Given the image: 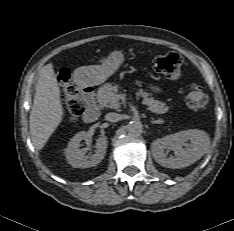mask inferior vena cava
<instances>
[{
    "mask_svg": "<svg viewBox=\"0 0 234 231\" xmlns=\"http://www.w3.org/2000/svg\"><path fill=\"white\" fill-rule=\"evenodd\" d=\"M105 119L110 122H117L121 120V116L118 113L110 112L105 115Z\"/></svg>",
    "mask_w": 234,
    "mask_h": 231,
    "instance_id": "602c4592",
    "label": "inferior vena cava"
}]
</instances>
